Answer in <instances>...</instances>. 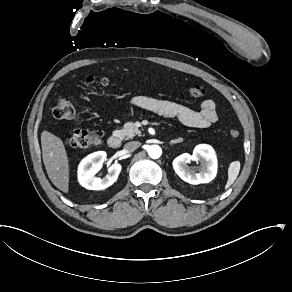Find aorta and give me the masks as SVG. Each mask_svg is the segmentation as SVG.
<instances>
[{"mask_svg":"<svg viewBox=\"0 0 292 292\" xmlns=\"http://www.w3.org/2000/svg\"><path fill=\"white\" fill-rule=\"evenodd\" d=\"M148 154L152 159H158L162 155V149L157 145H151L148 148Z\"/></svg>","mask_w":292,"mask_h":292,"instance_id":"aorta-1","label":"aorta"}]
</instances>
